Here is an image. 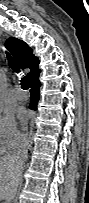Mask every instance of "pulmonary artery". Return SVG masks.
<instances>
[{
    "label": "pulmonary artery",
    "instance_id": "pulmonary-artery-1",
    "mask_svg": "<svg viewBox=\"0 0 89 203\" xmlns=\"http://www.w3.org/2000/svg\"><path fill=\"white\" fill-rule=\"evenodd\" d=\"M15 96L19 101H25L28 99V94L25 91L20 89L16 91Z\"/></svg>",
    "mask_w": 89,
    "mask_h": 203
}]
</instances>
